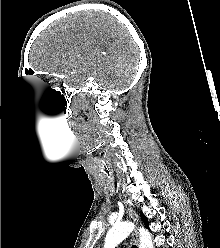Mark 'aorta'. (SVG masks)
I'll list each match as a JSON object with an SVG mask.
<instances>
[{"label":"aorta","mask_w":220,"mask_h":248,"mask_svg":"<svg viewBox=\"0 0 220 248\" xmlns=\"http://www.w3.org/2000/svg\"><path fill=\"white\" fill-rule=\"evenodd\" d=\"M134 230V224L124 221L115 224L107 233L104 248H115ZM140 248H154L151 234L144 228L139 229Z\"/></svg>","instance_id":"762f6f07"}]
</instances>
